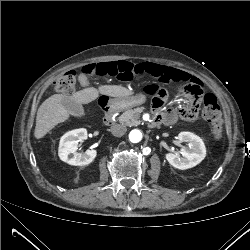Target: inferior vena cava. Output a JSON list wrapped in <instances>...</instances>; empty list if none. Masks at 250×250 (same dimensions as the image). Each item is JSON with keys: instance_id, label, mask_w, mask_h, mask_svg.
<instances>
[{"instance_id": "1", "label": "inferior vena cava", "mask_w": 250, "mask_h": 250, "mask_svg": "<svg viewBox=\"0 0 250 250\" xmlns=\"http://www.w3.org/2000/svg\"><path fill=\"white\" fill-rule=\"evenodd\" d=\"M111 133L116 136V137H121L123 136L126 131H127V128L125 125H122V124H115L113 126H111V129H110Z\"/></svg>"}]
</instances>
